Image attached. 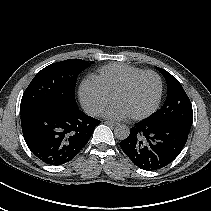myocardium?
Here are the masks:
<instances>
[{"label":"myocardium","instance_id":"1","mask_svg":"<svg viewBox=\"0 0 211 211\" xmlns=\"http://www.w3.org/2000/svg\"><path fill=\"white\" fill-rule=\"evenodd\" d=\"M145 75H153L157 78L158 85H159L158 96L154 105L149 110H147L144 113L131 116V118L134 120H142V119L148 118L149 116L154 114L159 108L161 100H162V96H163V80L161 76L156 71L145 70L129 78L126 82H124L121 86H119L112 94V99L114 100L117 95L128 90L138 79H140L141 77Z\"/></svg>","mask_w":211,"mask_h":211}]
</instances>
